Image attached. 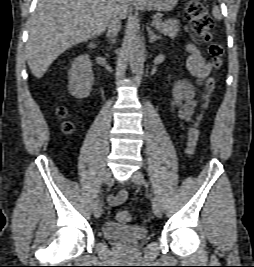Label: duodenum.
Instances as JSON below:
<instances>
[{"mask_svg": "<svg viewBox=\"0 0 254 267\" xmlns=\"http://www.w3.org/2000/svg\"><path fill=\"white\" fill-rule=\"evenodd\" d=\"M91 47H95V44H92Z\"/></svg>", "mask_w": 254, "mask_h": 267, "instance_id": "obj_1", "label": "duodenum"}]
</instances>
